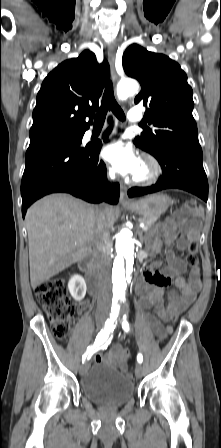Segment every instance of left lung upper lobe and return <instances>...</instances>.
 <instances>
[{
  "instance_id": "5c2ea615",
  "label": "left lung upper lobe",
  "mask_w": 221,
  "mask_h": 448,
  "mask_svg": "<svg viewBox=\"0 0 221 448\" xmlns=\"http://www.w3.org/2000/svg\"><path fill=\"white\" fill-rule=\"evenodd\" d=\"M122 63L125 73L140 82L135 103L147 107L144 121L155 127L137 136L134 144L153 156L172 146L200 147L192 116L193 91L179 64L137 44L126 49Z\"/></svg>"
}]
</instances>
